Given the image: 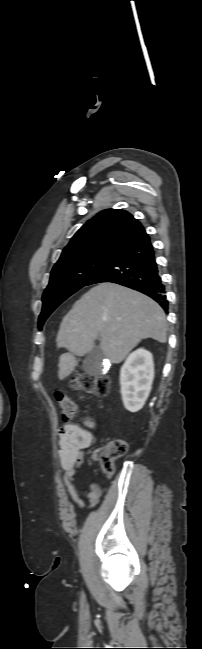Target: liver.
<instances>
[{
  "mask_svg": "<svg viewBox=\"0 0 202 649\" xmlns=\"http://www.w3.org/2000/svg\"><path fill=\"white\" fill-rule=\"evenodd\" d=\"M100 336V348L111 363H120L142 340H167L166 317L150 297L115 283L91 288L63 318L56 337L60 355L58 377L64 380L77 365L75 356H84Z\"/></svg>",
  "mask_w": 202,
  "mask_h": 649,
  "instance_id": "6515ba94",
  "label": "liver"
}]
</instances>
